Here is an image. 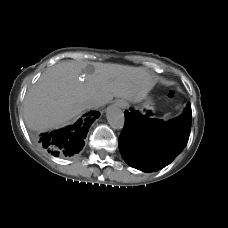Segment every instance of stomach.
<instances>
[{
    "mask_svg": "<svg viewBox=\"0 0 228 228\" xmlns=\"http://www.w3.org/2000/svg\"><path fill=\"white\" fill-rule=\"evenodd\" d=\"M142 109L144 110V112L148 115L152 114L153 111V107H152V102L149 98H146V100L144 101L143 105H142Z\"/></svg>",
    "mask_w": 228,
    "mask_h": 228,
    "instance_id": "obj_1",
    "label": "stomach"
}]
</instances>
